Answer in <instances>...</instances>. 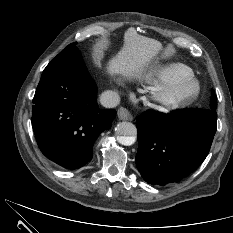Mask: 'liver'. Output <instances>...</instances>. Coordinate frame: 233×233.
Returning <instances> with one entry per match:
<instances>
[{
    "instance_id": "6515ba94",
    "label": "liver",
    "mask_w": 233,
    "mask_h": 233,
    "mask_svg": "<svg viewBox=\"0 0 233 233\" xmlns=\"http://www.w3.org/2000/svg\"><path fill=\"white\" fill-rule=\"evenodd\" d=\"M160 49L157 41L129 31L125 35L124 47L109 61L107 71L111 76L140 77L149 60Z\"/></svg>"
}]
</instances>
